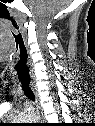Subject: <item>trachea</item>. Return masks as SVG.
Masks as SVG:
<instances>
[{
    "instance_id": "1",
    "label": "trachea",
    "mask_w": 95,
    "mask_h": 126,
    "mask_svg": "<svg viewBox=\"0 0 95 126\" xmlns=\"http://www.w3.org/2000/svg\"><path fill=\"white\" fill-rule=\"evenodd\" d=\"M21 55V54H20ZM29 67L27 66V56L24 58V57H20V60L17 64V73H18V77H19V80L21 82V85H22V89L25 93V95L31 99V100H34L35 97H34V94L31 90V87H30V74H29Z\"/></svg>"
}]
</instances>
